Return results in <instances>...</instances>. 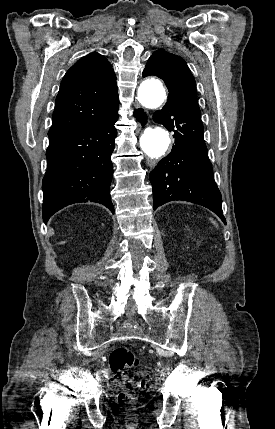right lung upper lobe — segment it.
<instances>
[{"label":"right lung upper lobe","mask_w":275,"mask_h":429,"mask_svg":"<svg viewBox=\"0 0 275 429\" xmlns=\"http://www.w3.org/2000/svg\"><path fill=\"white\" fill-rule=\"evenodd\" d=\"M116 76L102 55L92 52L65 74L56 98L52 126L54 137L82 126L103 122L117 115Z\"/></svg>","instance_id":"obj_1"}]
</instances>
